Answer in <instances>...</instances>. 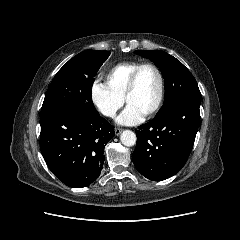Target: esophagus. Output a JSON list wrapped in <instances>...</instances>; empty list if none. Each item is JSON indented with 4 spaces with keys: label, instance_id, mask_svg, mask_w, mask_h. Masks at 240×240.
Segmentation results:
<instances>
[{
    "label": "esophagus",
    "instance_id": "34e87169",
    "mask_svg": "<svg viewBox=\"0 0 240 240\" xmlns=\"http://www.w3.org/2000/svg\"><path fill=\"white\" fill-rule=\"evenodd\" d=\"M122 131H123L122 129L117 128V129H115V134L118 136L122 133Z\"/></svg>",
    "mask_w": 240,
    "mask_h": 240
}]
</instances>
